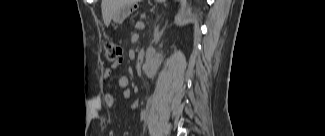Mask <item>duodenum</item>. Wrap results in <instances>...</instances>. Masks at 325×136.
Instances as JSON below:
<instances>
[{
    "label": "duodenum",
    "instance_id": "obj_1",
    "mask_svg": "<svg viewBox=\"0 0 325 136\" xmlns=\"http://www.w3.org/2000/svg\"><path fill=\"white\" fill-rule=\"evenodd\" d=\"M146 53L145 51H139L135 63V71L137 73H142L144 70V63H145Z\"/></svg>",
    "mask_w": 325,
    "mask_h": 136
}]
</instances>
